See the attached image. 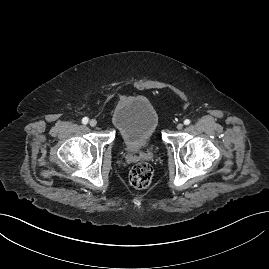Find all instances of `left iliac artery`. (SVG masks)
I'll use <instances>...</instances> for the list:
<instances>
[{"label":"left iliac artery","mask_w":269,"mask_h":269,"mask_svg":"<svg viewBox=\"0 0 269 269\" xmlns=\"http://www.w3.org/2000/svg\"><path fill=\"white\" fill-rule=\"evenodd\" d=\"M184 124H185V125H189V124H190V120H189V119H186V120L184 121Z\"/></svg>","instance_id":"left-iliac-artery-1"}]
</instances>
